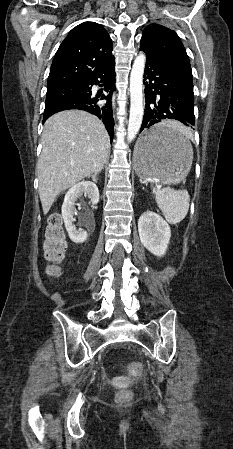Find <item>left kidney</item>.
I'll use <instances>...</instances> for the list:
<instances>
[{"instance_id":"left-kidney-1","label":"left kidney","mask_w":233,"mask_h":449,"mask_svg":"<svg viewBox=\"0 0 233 449\" xmlns=\"http://www.w3.org/2000/svg\"><path fill=\"white\" fill-rule=\"evenodd\" d=\"M138 232L143 246L155 256L165 255L171 230L168 223L152 211L143 213L138 220Z\"/></svg>"}]
</instances>
